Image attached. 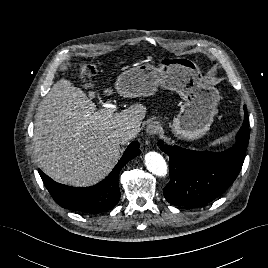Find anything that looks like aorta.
<instances>
[{
    "label": "aorta",
    "mask_w": 268,
    "mask_h": 268,
    "mask_svg": "<svg viewBox=\"0 0 268 268\" xmlns=\"http://www.w3.org/2000/svg\"><path fill=\"white\" fill-rule=\"evenodd\" d=\"M145 166L156 176L164 177L167 174V164L163 156L157 152L151 151L145 154Z\"/></svg>",
    "instance_id": "obj_1"
}]
</instances>
